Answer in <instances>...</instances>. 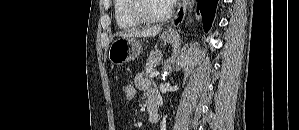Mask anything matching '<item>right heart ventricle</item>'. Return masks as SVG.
Here are the masks:
<instances>
[{"label":"right heart ventricle","instance_id":"1","mask_svg":"<svg viewBox=\"0 0 299 130\" xmlns=\"http://www.w3.org/2000/svg\"><path fill=\"white\" fill-rule=\"evenodd\" d=\"M114 16L116 24L121 29L141 27L144 22L135 18L131 12V0H115Z\"/></svg>","mask_w":299,"mask_h":130}]
</instances>
